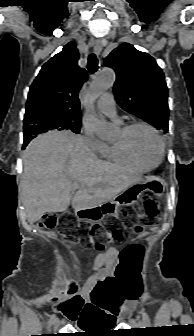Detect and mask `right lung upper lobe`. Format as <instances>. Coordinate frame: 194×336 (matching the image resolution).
<instances>
[{
	"instance_id": "right-lung-upper-lobe-1",
	"label": "right lung upper lobe",
	"mask_w": 194,
	"mask_h": 336,
	"mask_svg": "<svg viewBox=\"0 0 194 336\" xmlns=\"http://www.w3.org/2000/svg\"><path fill=\"white\" fill-rule=\"evenodd\" d=\"M75 47L73 42L68 43L43 65L30 87L25 125L40 119L81 122L78 92L87 80V73L77 64ZM37 134L40 133L27 134L24 143H29Z\"/></svg>"
}]
</instances>
